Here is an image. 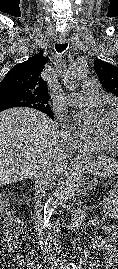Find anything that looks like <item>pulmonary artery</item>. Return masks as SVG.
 I'll list each match as a JSON object with an SVG mask.
<instances>
[{"label": "pulmonary artery", "mask_w": 118, "mask_h": 269, "mask_svg": "<svg viewBox=\"0 0 118 269\" xmlns=\"http://www.w3.org/2000/svg\"><path fill=\"white\" fill-rule=\"evenodd\" d=\"M98 83L94 78H87L83 82V90L78 93H72L67 98V103L70 105H79L87 103L97 97Z\"/></svg>", "instance_id": "obj_1"}]
</instances>
